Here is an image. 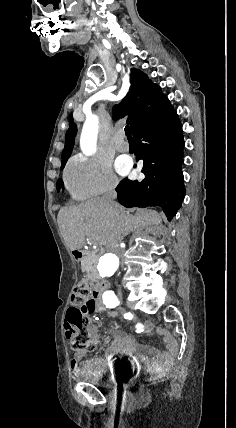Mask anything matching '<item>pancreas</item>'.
Returning <instances> with one entry per match:
<instances>
[{
	"mask_svg": "<svg viewBox=\"0 0 236 428\" xmlns=\"http://www.w3.org/2000/svg\"><path fill=\"white\" fill-rule=\"evenodd\" d=\"M99 256H93V258H87L85 262L81 264L82 272H85L86 276H88L89 280H98V272L96 270L97 260Z\"/></svg>",
	"mask_w": 236,
	"mask_h": 428,
	"instance_id": "pancreas-1",
	"label": "pancreas"
}]
</instances>
